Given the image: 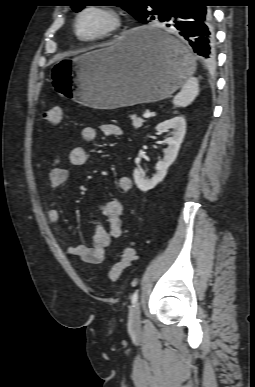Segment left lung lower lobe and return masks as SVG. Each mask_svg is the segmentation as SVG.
Returning <instances> with one entry per match:
<instances>
[{"label": "left lung lower lobe", "instance_id": "obj_1", "mask_svg": "<svg viewBox=\"0 0 255 387\" xmlns=\"http://www.w3.org/2000/svg\"><path fill=\"white\" fill-rule=\"evenodd\" d=\"M212 0H177L169 5L167 13L159 20L163 26H174L204 62L215 60V36L212 13L208 6ZM142 39L169 58H176L180 48L162 31L146 32Z\"/></svg>", "mask_w": 255, "mask_h": 387}]
</instances>
